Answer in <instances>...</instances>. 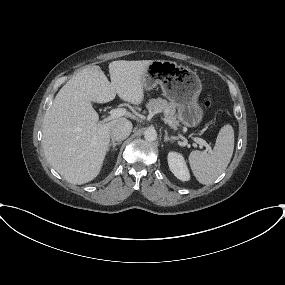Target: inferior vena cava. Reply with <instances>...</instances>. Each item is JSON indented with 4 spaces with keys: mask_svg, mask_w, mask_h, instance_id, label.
I'll use <instances>...</instances> for the list:
<instances>
[{
    "mask_svg": "<svg viewBox=\"0 0 285 285\" xmlns=\"http://www.w3.org/2000/svg\"><path fill=\"white\" fill-rule=\"evenodd\" d=\"M131 131L132 123L127 119H123L112 126L110 136L114 141H122L130 135Z\"/></svg>",
    "mask_w": 285,
    "mask_h": 285,
    "instance_id": "602c4592",
    "label": "inferior vena cava"
}]
</instances>
